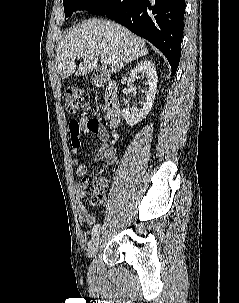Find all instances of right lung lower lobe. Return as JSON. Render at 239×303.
I'll use <instances>...</instances> for the list:
<instances>
[{
  "mask_svg": "<svg viewBox=\"0 0 239 303\" xmlns=\"http://www.w3.org/2000/svg\"><path fill=\"white\" fill-rule=\"evenodd\" d=\"M185 0H105L90 13L106 15L147 39L168 59L175 75L181 54Z\"/></svg>",
  "mask_w": 239,
  "mask_h": 303,
  "instance_id": "right-lung-lower-lobe-1",
  "label": "right lung lower lobe"
}]
</instances>
